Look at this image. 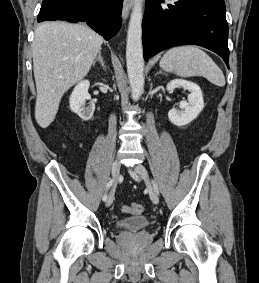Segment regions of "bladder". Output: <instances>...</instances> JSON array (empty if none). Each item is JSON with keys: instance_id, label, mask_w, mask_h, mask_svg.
I'll use <instances>...</instances> for the list:
<instances>
[{"instance_id": "31cf9c89", "label": "bladder", "mask_w": 259, "mask_h": 283, "mask_svg": "<svg viewBox=\"0 0 259 283\" xmlns=\"http://www.w3.org/2000/svg\"><path fill=\"white\" fill-rule=\"evenodd\" d=\"M150 226V220L145 216H131L120 219L115 223L119 231L137 232Z\"/></svg>"}]
</instances>
